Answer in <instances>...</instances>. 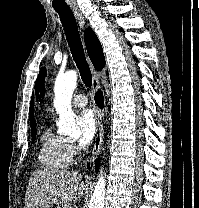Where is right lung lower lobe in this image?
Listing matches in <instances>:
<instances>
[{
    "label": "right lung lower lobe",
    "mask_w": 199,
    "mask_h": 208,
    "mask_svg": "<svg viewBox=\"0 0 199 208\" xmlns=\"http://www.w3.org/2000/svg\"><path fill=\"white\" fill-rule=\"evenodd\" d=\"M95 101L96 104L102 109L103 108V96H102V92L98 91L95 95ZM99 164H100V160L97 159V161L95 162V171L98 172L99 170Z\"/></svg>",
    "instance_id": "98d812e1"
}]
</instances>
